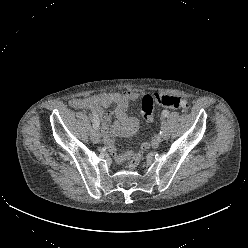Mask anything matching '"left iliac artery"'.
Masks as SVG:
<instances>
[{
  "mask_svg": "<svg viewBox=\"0 0 248 248\" xmlns=\"http://www.w3.org/2000/svg\"><path fill=\"white\" fill-rule=\"evenodd\" d=\"M162 115H163L164 117H167V116L169 115V111H168V110H163V111H162ZM160 134H162V131L160 132Z\"/></svg>",
  "mask_w": 248,
  "mask_h": 248,
  "instance_id": "44dca946",
  "label": "left iliac artery"
}]
</instances>
